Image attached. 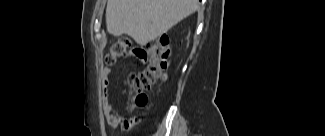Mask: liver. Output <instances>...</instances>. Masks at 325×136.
<instances>
[{"label":"liver","instance_id":"1","mask_svg":"<svg viewBox=\"0 0 325 136\" xmlns=\"http://www.w3.org/2000/svg\"><path fill=\"white\" fill-rule=\"evenodd\" d=\"M199 0H108L107 31L144 46L194 13Z\"/></svg>","mask_w":325,"mask_h":136}]
</instances>
